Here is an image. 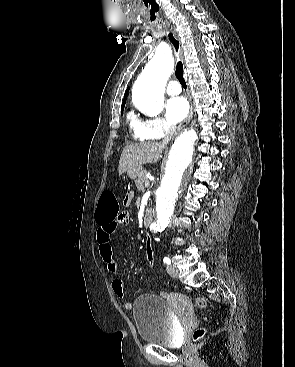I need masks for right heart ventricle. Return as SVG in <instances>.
Wrapping results in <instances>:
<instances>
[{
  "label": "right heart ventricle",
  "mask_w": 295,
  "mask_h": 367,
  "mask_svg": "<svg viewBox=\"0 0 295 367\" xmlns=\"http://www.w3.org/2000/svg\"><path fill=\"white\" fill-rule=\"evenodd\" d=\"M127 121H128L130 128L134 131L135 137L139 140H146V138L139 135L136 130L137 124L139 123L140 120L135 116L133 112L128 113Z\"/></svg>",
  "instance_id": "1"
}]
</instances>
